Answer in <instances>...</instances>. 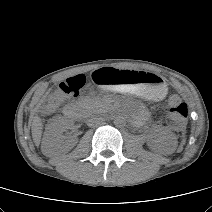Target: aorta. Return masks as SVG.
Here are the masks:
<instances>
[{"label": "aorta", "mask_w": 212, "mask_h": 212, "mask_svg": "<svg viewBox=\"0 0 212 212\" xmlns=\"http://www.w3.org/2000/svg\"><path fill=\"white\" fill-rule=\"evenodd\" d=\"M126 121H125V118L122 117V116H117L115 119H114V124L116 126H123L125 125Z\"/></svg>", "instance_id": "1"}]
</instances>
